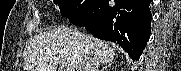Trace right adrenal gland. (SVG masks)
<instances>
[{
  "label": "right adrenal gland",
  "mask_w": 181,
  "mask_h": 71,
  "mask_svg": "<svg viewBox=\"0 0 181 71\" xmlns=\"http://www.w3.org/2000/svg\"><path fill=\"white\" fill-rule=\"evenodd\" d=\"M113 62H111L110 64H106L101 71H107L109 68H111Z\"/></svg>",
  "instance_id": "2a0ac1e0"
}]
</instances>
